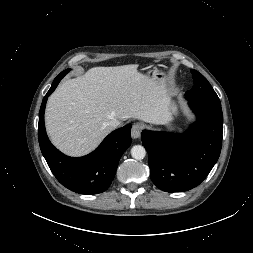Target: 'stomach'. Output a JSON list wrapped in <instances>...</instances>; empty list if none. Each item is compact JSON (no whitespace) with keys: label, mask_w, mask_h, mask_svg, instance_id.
Masks as SVG:
<instances>
[{"label":"stomach","mask_w":253,"mask_h":253,"mask_svg":"<svg viewBox=\"0 0 253 253\" xmlns=\"http://www.w3.org/2000/svg\"><path fill=\"white\" fill-rule=\"evenodd\" d=\"M147 75L149 77H154V78L164 82L165 74L159 69L149 70L147 72ZM171 104H172V107L170 110V116H169L167 122L165 123V125L170 129H172L174 127L175 118L178 113V108H177L176 104L172 101V99H171Z\"/></svg>","instance_id":"0dacf381"}]
</instances>
